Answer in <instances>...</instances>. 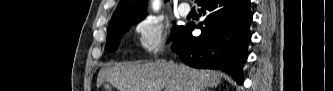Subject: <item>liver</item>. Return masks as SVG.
<instances>
[{"label":"liver","mask_w":333,"mask_h":91,"mask_svg":"<svg viewBox=\"0 0 333 91\" xmlns=\"http://www.w3.org/2000/svg\"><path fill=\"white\" fill-rule=\"evenodd\" d=\"M222 73L215 70H198L185 64L165 60L156 62L118 63L100 69L97 87L109 82L119 91H205L216 87Z\"/></svg>","instance_id":"liver-1"}]
</instances>
